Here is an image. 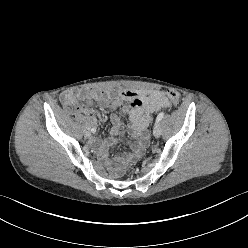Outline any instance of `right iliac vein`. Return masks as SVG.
<instances>
[{"mask_svg":"<svg viewBox=\"0 0 248 248\" xmlns=\"http://www.w3.org/2000/svg\"><path fill=\"white\" fill-rule=\"evenodd\" d=\"M84 134H85V136H87V137L90 136L91 132H90L89 127H86V128H85Z\"/></svg>","mask_w":248,"mask_h":248,"instance_id":"1","label":"right iliac vein"}]
</instances>
